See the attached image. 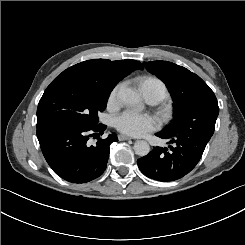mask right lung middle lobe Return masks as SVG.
<instances>
[{"label": "right lung middle lobe", "mask_w": 245, "mask_h": 245, "mask_svg": "<svg viewBox=\"0 0 245 245\" xmlns=\"http://www.w3.org/2000/svg\"><path fill=\"white\" fill-rule=\"evenodd\" d=\"M113 88L95 79L62 72L47 87L37 108V128L55 124L90 127L106 108Z\"/></svg>", "instance_id": "1"}]
</instances>
